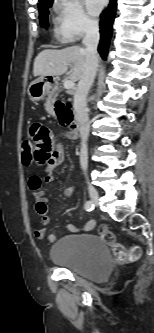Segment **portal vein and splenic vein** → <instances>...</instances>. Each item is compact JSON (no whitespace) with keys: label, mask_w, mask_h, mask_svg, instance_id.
<instances>
[{"label":"portal vein and splenic vein","mask_w":154,"mask_h":333,"mask_svg":"<svg viewBox=\"0 0 154 333\" xmlns=\"http://www.w3.org/2000/svg\"><path fill=\"white\" fill-rule=\"evenodd\" d=\"M74 81L73 80H65L63 83V86L65 89H72L74 87Z\"/></svg>","instance_id":"18ae733b"}]
</instances>
